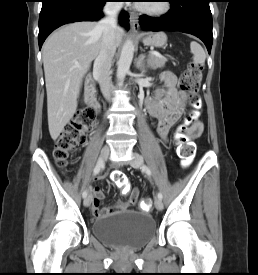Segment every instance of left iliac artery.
Wrapping results in <instances>:
<instances>
[{"label":"left iliac artery","instance_id":"44dca946","mask_svg":"<svg viewBox=\"0 0 258 275\" xmlns=\"http://www.w3.org/2000/svg\"><path fill=\"white\" fill-rule=\"evenodd\" d=\"M142 169H143V171L146 172V174H147L148 176H151V171H150V169H149L147 166H143ZM158 198L162 200L163 195H162L161 192H158Z\"/></svg>","mask_w":258,"mask_h":275}]
</instances>
